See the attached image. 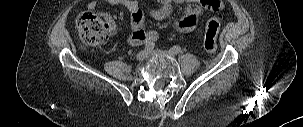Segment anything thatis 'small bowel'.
<instances>
[{
	"label": "small bowel",
	"instance_id": "small-bowel-1",
	"mask_svg": "<svg viewBox=\"0 0 303 127\" xmlns=\"http://www.w3.org/2000/svg\"><path fill=\"white\" fill-rule=\"evenodd\" d=\"M111 5H122L131 13L132 33L129 37V44L140 45L154 43L158 40V34L155 31H145V14L139 7L138 0H104ZM158 6L150 10L149 15L153 20L160 21L167 18L173 9V2L187 4L184 15L177 21L176 26L180 31L189 32L196 28L198 19L207 10L219 11L223 8L220 0H156ZM97 0H91L87 4L89 10H95ZM110 30L116 33L118 26L109 14H103Z\"/></svg>",
	"mask_w": 303,
	"mask_h": 127
}]
</instances>
